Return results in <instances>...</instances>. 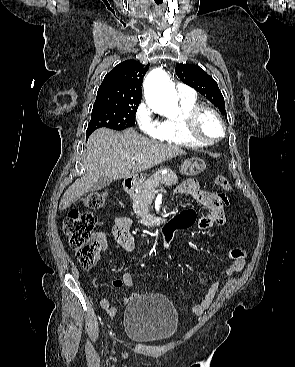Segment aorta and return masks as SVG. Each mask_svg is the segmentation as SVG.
<instances>
[{"label":"aorta","mask_w":295,"mask_h":367,"mask_svg":"<svg viewBox=\"0 0 295 367\" xmlns=\"http://www.w3.org/2000/svg\"><path fill=\"white\" fill-rule=\"evenodd\" d=\"M144 93L148 106L154 112L169 118L178 116L177 93L162 68H156L147 75Z\"/></svg>","instance_id":"obj_1"}]
</instances>
